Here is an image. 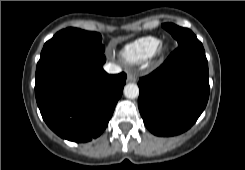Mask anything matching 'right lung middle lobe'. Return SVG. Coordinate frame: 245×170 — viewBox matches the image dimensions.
<instances>
[{
    "instance_id": "obj_1",
    "label": "right lung middle lobe",
    "mask_w": 245,
    "mask_h": 170,
    "mask_svg": "<svg viewBox=\"0 0 245 170\" xmlns=\"http://www.w3.org/2000/svg\"><path fill=\"white\" fill-rule=\"evenodd\" d=\"M65 50H88L103 53L102 37L97 32H88L77 28L61 30L45 43L37 67Z\"/></svg>"
}]
</instances>
